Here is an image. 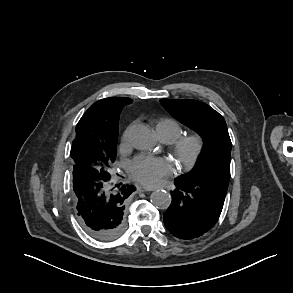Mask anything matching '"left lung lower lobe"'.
I'll list each match as a JSON object with an SVG mask.
<instances>
[{"mask_svg": "<svg viewBox=\"0 0 293 293\" xmlns=\"http://www.w3.org/2000/svg\"><path fill=\"white\" fill-rule=\"evenodd\" d=\"M171 191L172 202L164 213L167 230L181 239H194L217 222L225 200L227 186L203 184L178 177Z\"/></svg>", "mask_w": 293, "mask_h": 293, "instance_id": "0a47b994", "label": "left lung lower lobe"}]
</instances>
